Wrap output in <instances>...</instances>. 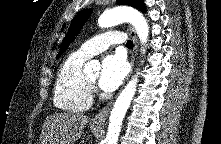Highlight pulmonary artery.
Masks as SVG:
<instances>
[{
  "mask_svg": "<svg viewBox=\"0 0 221 144\" xmlns=\"http://www.w3.org/2000/svg\"><path fill=\"white\" fill-rule=\"evenodd\" d=\"M125 34L119 31H107L101 33L82 44L76 53L86 59L108 49L113 44H121L125 41Z\"/></svg>",
  "mask_w": 221,
  "mask_h": 144,
  "instance_id": "1",
  "label": "pulmonary artery"
}]
</instances>
